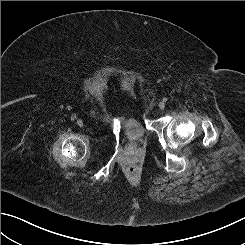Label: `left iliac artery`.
Here are the masks:
<instances>
[{"label": "left iliac artery", "mask_w": 245, "mask_h": 245, "mask_svg": "<svg viewBox=\"0 0 245 245\" xmlns=\"http://www.w3.org/2000/svg\"><path fill=\"white\" fill-rule=\"evenodd\" d=\"M163 102H167V98H163Z\"/></svg>", "instance_id": "1"}]
</instances>
